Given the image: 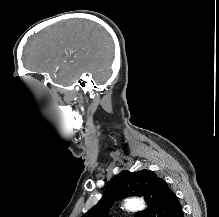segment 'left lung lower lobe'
I'll list each match as a JSON object with an SVG mask.
<instances>
[{"label":"left lung lower lobe","mask_w":219,"mask_h":217,"mask_svg":"<svg viewBox=\"0 0 219 217\" xmlns=\"http://www.w3.org/2000/svg\"><path fill=\"white\" fill-rule=\"evenodd\" d=\"M173 217H184V213L182 210V207H178V209L176 210L175 214L173 215Z\"/></svg>","instance_id":"0a47b994"}]
</instances>
